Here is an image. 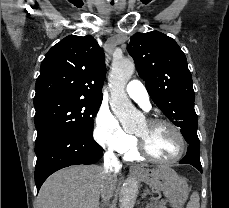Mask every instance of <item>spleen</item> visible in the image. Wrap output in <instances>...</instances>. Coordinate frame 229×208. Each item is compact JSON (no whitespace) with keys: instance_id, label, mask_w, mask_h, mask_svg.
I'll return each instance as SVG.
<instances>
[{"instance_id":"spleen-1","label":"spleen","mask_w":229,"mask_h":208,"mask_svg":"<svg viewBox=\"0 0 229 208\" xmlns=\"http://www.w3.org/2000/svg\"><path fill=\"white\" fill-rule=\"evenodd\" d=\"M199 200V194H197V192H194V194H192L191 196V202H189L188 208H200Z\"/></svg>"}]
</instances>
